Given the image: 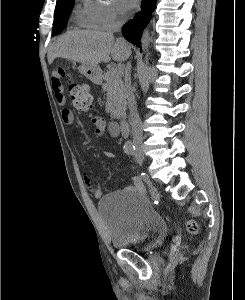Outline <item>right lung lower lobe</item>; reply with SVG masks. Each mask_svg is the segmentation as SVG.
<instances>
[{
	"instance_id": "right-lung-lower-lobe-1",
	"label": "right lung lower lobe",
	"mask_w": 245,
	"mask_h": 300,
	"mask_svg": "<svg viewBox=\"0 0 245 300\" xmlns=\"http://www.w3.org/2000/svg\"><path fill=\"white\" fill-rule=\"evenodd\" d=\"M155 3L156 0H142L141 11L123 26V36L133 45L141 47V35L143 29L151 19L152 12L155 9Z\"/></svg>"
}]
</instances>
